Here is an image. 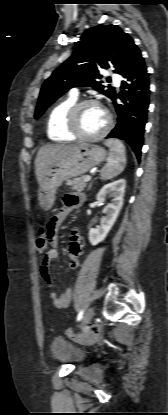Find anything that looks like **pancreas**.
Returning <instances> with one entry per match:
<instances>
[{"label":"pancreas","mask_w":168,"mask_h":415,"mask_svg":"<svg viewBox=\"0 0 168 415\" xmlns=\"http://www.w3.org/2000/svg\"><path fill=\"white\" fill-rule=\"evenodd\" d=\"M86 176H81L74 180L67 181L66 185L71 186L72 190L82 191L87 186V182H85Z\"/></svg>","instance_id":"1"}]
</instances>
